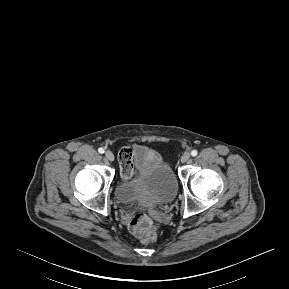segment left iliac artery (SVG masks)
<instances>
[{"mask_svg":"<svg viewBox=\"0 0 289 289\" xmlns=\"http://www.w3.org/2000/svg\"><path fill=\"white\" fill-rule=\"evenodd\" d=\"M197 154H198L197 150H192V151H191V155H192V156H197Z\"/></svg>","mask_w":289,"mask_h":289,"instance_id":"1","label":"left iliac artery"}]
</instances>
